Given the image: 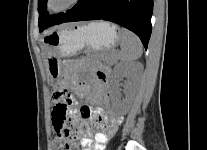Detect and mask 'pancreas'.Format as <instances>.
Returning a JSON list of instances; mask_svg holds the SVG:
<instances>
[{
	"mask_svg": "<svg viewBox=\"0 0 207 150\" xmlns=\"http://www.w3.org/2000/svg\"><path fill=\"white\" fill-rule=\"evenodd\" d=\"M100 59L109 65H114L117 62V55L113 51H108L100 55Z\"/></svg>",
	"mask_w": 207,
	"mask_h": 150,
	"instance_id": "obj_1",
	"label": "pancreas"
}]
</instances>
